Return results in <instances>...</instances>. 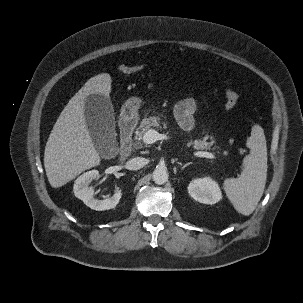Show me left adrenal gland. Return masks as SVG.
<instances>
[{
  "label": "left adrenal gland",
  "instance_id": "obj_1",
  "mask_svg": "<svg viewBox=\"0 0 303 303\" xmlns=\"http://www.w3.org/2000/svg\"><path fill=\"white\" fill-rule=\"evenodd\" d=\"M192 164L191 162L184 164L181 169H184L185 167H187L188 165Z\"/></svg>",
  "mask_w": 303,
  "mask_h": 303
}]
</instances>
